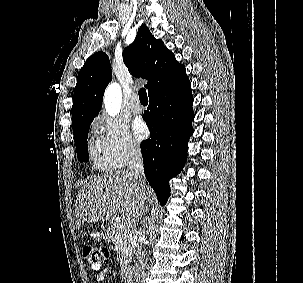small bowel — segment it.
I'll use <instances>...</instances> for the list:
<instances>
[{"mask_svg":"<svg viewBox=\"0 0 303 283\" xmlns=\"http://www.w3.org/2000/svg\"><path fill=\"white\" fill-rule=\"evenodd\" d=\"M110 270V266L105 267L98 275H97V282H101L104 277L106 276V274L109 272Z\"/></svg>","mask_w":303,"mask_h":283,"instance_id":"1","label":"small bowel"}]
</instances>
